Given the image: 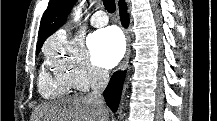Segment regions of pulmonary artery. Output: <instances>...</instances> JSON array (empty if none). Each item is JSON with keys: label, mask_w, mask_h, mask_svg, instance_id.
I'll list each match as a JSON object with an SVG mask.
<instances>
[{"label": "pulmonary artery", "mask_w": 217, "mask_h": 121, "mask_svg": "<svg viewBox=\"0 0 217 121\" xmlns=\"http://www.w3.org/2000/svg\"><path fill=\"white\" fill-rule=\"evenodd\" d=\"M108 21H109L108 16L106 15L105 12L101 10L95 12L90 19V22L94 27L105 26L108 23Z\"/></svg>", "instance_id": "pulmonary-artery-1"}]
</instances>
